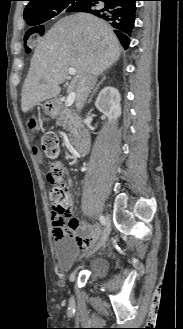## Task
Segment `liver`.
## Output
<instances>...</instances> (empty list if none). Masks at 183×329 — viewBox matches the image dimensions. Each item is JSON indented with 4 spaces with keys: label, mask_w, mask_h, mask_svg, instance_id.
<instances>
[{
    "label": "liver",
    "mask_w": 183,
    "mask_h": 329,
    "mask_svg": "<svg viewBox=\"0 0 183 329\" xmlns=\"http://www.w3.org/2000/svg\"><path fill=\"white\" fill-rule=\"evenodd\" d=\"M122 47L113 29L102 19L77 13L60 19L39 41L21 94V109L55 98L60 84L69 78L68 68L77 74L68 87L77 93L83 78L96 77L120 57Z\"/></svg>",
    "instance_id": "liver-1"
}]
</instances>
